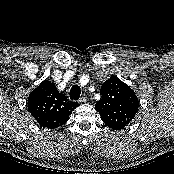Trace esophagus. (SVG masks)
Wrapping results in <instances>:
<instances>
[{"mask_svg": "<svg viewBox=\"0 0 174 174\" xmlns=\"http://www.w3.org/2000/svg\"><path fill=\"white\" fill-rule=\"evenodd\" d=\"M87 101V97L85 95H83L80 99H79V103H85Z\"/></svg>", "mask_w": 174, "mask_h": 174, "instance_id": "obj_1", "label": "esophagus"}]
</instances>
